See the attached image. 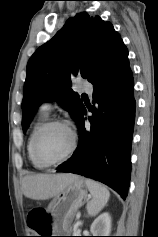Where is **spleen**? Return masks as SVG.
<instances>
[{
	"label": "spleen",
	"instance_id": "1",
	"mask_svg": "<svg viewBox=\"0 0 158 237\" xmlns=\"http://www.w3.org/2000/svg\"><path fill=\"white\" fill-rule=\"evenodd\" d=\"M85 184L92 195V199L87 203L88 214L96 216L107 204L110 192L105 186L91 179H86Z\"/></svg>",
	"mask_w": 158,
	"mask_h": 237
}]
</instances>
